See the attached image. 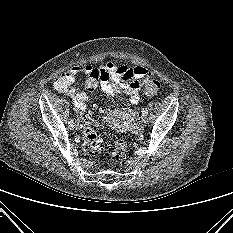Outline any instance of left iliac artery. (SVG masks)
I'll list each match as a JSON object with an SVG mask.
<instances>
[{
    "instance_id": "44dca946",
    "label": "left iliac artery",
    "mask_w": 233,
    "mask_h": 233,
    "mask_svg": "<svg viewBox=\"0 0 233 233\" xmlns=\"http://www.w3.org/2000/svg\"><path fill=\"white\" fill-rule=\"evenodd\" d=\"M147 114H148L147 110H146V109H143V110H142V116H145V117H146Z\"/></svg>"
}]
</instances>
